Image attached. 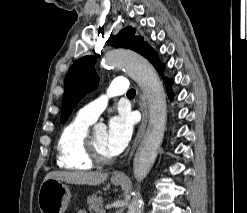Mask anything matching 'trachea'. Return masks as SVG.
I'll return each mask as SVG.
<instances>
[{
	"instance_id": "trachea-1",
	"label": "trachea",
	"mask_w": 247,
	"mask_h": 213,
	"mask_svg": "<svg viewBox=\"0 0 247 213\" xmlns=\"http://www.w3.org/2000/svg\"><path fill=\"white\" fill-rule=\"evenodd\" d=\"M135 94V90L134 89H130L128 92H127V95H133Z\"/></svg>"
}]
</instances>
